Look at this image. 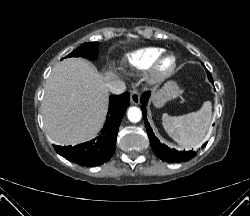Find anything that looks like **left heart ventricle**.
<instances>
[{"label": "left heart ventricle", "mask_w": 250, "mask_h": 216, "mask_svg": "<svg viewBox=\"0 0 250 216\" xmlns=\"http://www.w3.org/2000/svg\"><path fill=\"white\" fill-rule=\"evenodd\" d=\"M169 65H170V60L169 59H167L166 61H164V63H163V67L164 68H167Z\"/></svg>", "instance_id": "1"}]
</instances>
